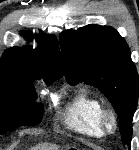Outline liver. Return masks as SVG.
I'll return each instance as SVG.
<instances>
[{"instance_id":"liver-1","label":"liver","mask_w":139,"mask_h":150,"mask_svg":"<svg viewBox=\"0 0 139 150\" xmlns=\"http://www.w3.org/2000/svg\"><path fill=\"white\" fill-rule=\"evenodd\" d=\"M59 148L60 147L56 145L43 144V145L33 147V150H59Z\"/></svg>"}]
</instances>
